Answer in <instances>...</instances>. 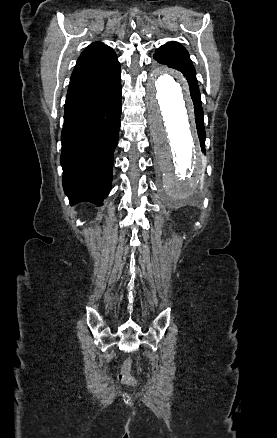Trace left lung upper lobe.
I'll return each instance as SVG.
<instances>
[{"instance_id":"5c2ea615","label":"left lung upper lobe","mask_w":277,"mask_h":438,"mask_svg":"<svg viewBox=\"0 0 277 438\" xmlns=\"http://www.w3.org/2000/svg\"><path fill=\"white\" fill-rule=\"evenodd\" d=\"M153 57L159 63L166 64L183 73L189 83L190 93L194 103V112L203 113L196 72L187 50L180 43L169 42L158 48Z\"/></svg>"}]
</instances>
